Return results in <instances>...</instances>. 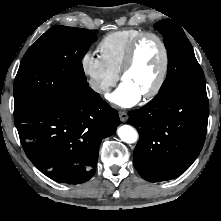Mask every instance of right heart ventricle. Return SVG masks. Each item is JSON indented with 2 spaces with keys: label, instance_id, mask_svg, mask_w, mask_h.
<instances>
[{
  "label": "right heart ventricle",
  "instance_id": "right-heart-ventricle-1",
  "mask_svg": "<svg viewBox=\"0 0 221 221\" xmlns=\"http://www.w3.org/2000/svg\"><path fill=\"white\" fill-rule=\"evenodd\" d=\"M141 33L143 31L134 28L114 31L105 35L99 42L100 56L115 74H119L130 44Z\"/></svg>",
  "mask_w": 221,
  "mask_h": 221
}]
</instances>
